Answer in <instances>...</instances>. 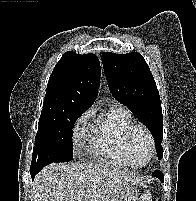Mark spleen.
<instances>
[{
    "instance_id": "spleen-1",
    "label": "spleen",
    "mask_w": 196,
    "mask_h": 201,
    "mask_svg": "<svg viewBox=\"0 0 196 201\" xmlns=\"http://www.w3.org/2000/svg\"><path fill=\"white\" fill-rule=\"evenodd\" d=\"M145 200H148L151 198V194L149 192H146L144 195Z\"/></svg>"
}]
</instances>
